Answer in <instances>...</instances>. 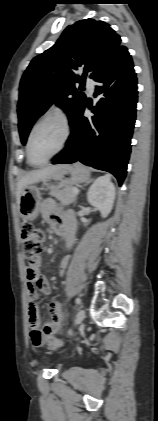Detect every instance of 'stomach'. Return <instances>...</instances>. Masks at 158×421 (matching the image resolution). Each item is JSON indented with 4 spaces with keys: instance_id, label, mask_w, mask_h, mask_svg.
<instances>
[{
    "instance_id": "stomach-1",
    "label": "stomach",
    "mask_w": 158,
    "mask_h": 421,
    "mask_svg": "<svg viewBox=\"0 0 158 421\" xmlns=\"http://www.w3.org/2000/svg\"><path fill=\"white\" fill-rule=\"evenodd\" d=\"M90 178L89 170L80 163L64 165L43 180V184L51 190L70 187L87 182ZM41 195L39 188L33 184L27 185L21 193L19 212L28 221H33L39 214Z\"/></svg>"
}]
</instances>
